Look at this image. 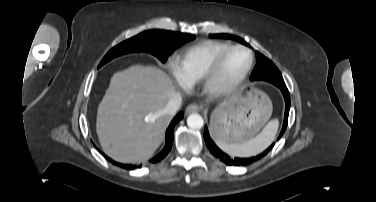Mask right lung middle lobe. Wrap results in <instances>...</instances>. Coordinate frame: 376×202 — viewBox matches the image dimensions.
Listing matches in <instances>:
<instances>
[{
  "instance_id": "obj_1",
  "label": "right lung middle lobe",
  "mask_w": 376,
  "mask_h": 202,
  "mask_svg": "<svg viewBox=\"0 0 376 202\" xmlns=\"http://www.w3.org/2000/svg\"><path fill=\"white\" fill-rule=\"evenodd\" d=\"M194 35L164 30H149L113 47L103 58L99 67L111 59L130 52H149L165 62L168 56Z\"/></svg>"
}]
</instances>
